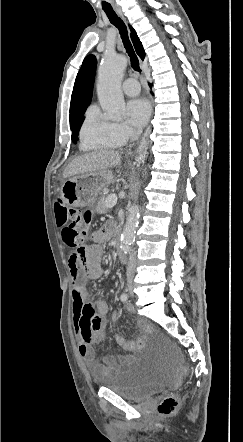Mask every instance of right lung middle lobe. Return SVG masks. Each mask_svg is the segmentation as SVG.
Returning <instances> with one entry per match:
<instances>
[{"instance_id": "right-lung-middle-lobe-1", "label": "right lung middle lobe", "mask_w": 243, "mask_h": 442, "mask_svg": "<svg viewBox=\"0 0 243 442\" xmlns=\"http://www.w3.org/2000/svg\"><path fill=\"white\" fill-rule=\"evenodd\" d=\"M82 123H83V119H79V120H77L76 122L70 124V128H71V131H72V133H73V134H72V140H73L74 142L77 141V133H78V131H79V129H80Z\"/></svg>"}]
</instances>
